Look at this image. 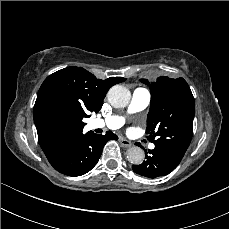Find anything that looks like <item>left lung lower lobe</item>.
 <instances>
[{
	"mask_svg": "<svg viewBox=\"0 0 229 229\" xmlns=\"http://www.w3.org/2000/svg\"><path fill=\"white\" fill-rule=\"evenodd\" d=\"M145 158L142 164L132 165V169L135 173L148 178L165 176L180 163L172 160L167 151L157 145L153 150L145 151Z\"/></svg>",
	"mask_w": 229,
	"mask_h": 229,
	"instance_id": "1",
	"label": "left lung lower lobe"
}]
</instances>
